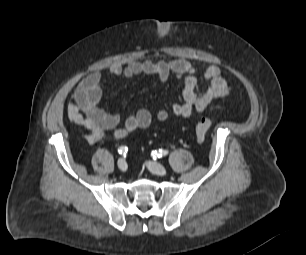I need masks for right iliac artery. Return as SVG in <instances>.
<instances>
[{"instance_id": "82829eb1", "label": "right iliac artery", "mask_w": 306, "mask_h": 255, "mask_svg": "<svg viewBox=\"0 0 306 255\" xmlns=\"http://www.w3.org/2000/svg\"><path fill=\"white\" fill-rule=\"evenodd\" d=\"M117 151L119 154L125 155L128 151V148L126 146H120Z\"/></svg>"}]
</instances>
